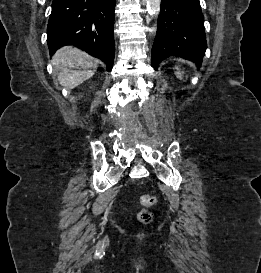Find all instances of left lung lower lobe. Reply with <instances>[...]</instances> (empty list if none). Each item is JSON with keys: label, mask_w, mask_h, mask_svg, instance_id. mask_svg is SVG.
<instances>
[{"label": "left lung lower lobe", "mask_w": 261, "mask_h": 273, "mask_svg": "<svg viewBox=\"0 0 261 273\" xmlns=\"http://www.w3.org/2000/svg\"><path fill=\"white\" fill-rule=\"evenodd\" d=\"M207 48L199 0H161L157 33L151 51L152 66L176 56L201 63Z\"/></svg>", "instance_id": "left-lung-lower-lobe-1"}]
</instances>
